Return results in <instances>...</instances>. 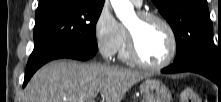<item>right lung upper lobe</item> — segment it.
<instances>
[{
	"label": "right lung upper lobe",
	"mask_w": 221,
	"mask_h": 102,
	"mask_svg": "<svg viewBox=\"0 0 221 102\" xmlns=\"http://www.w3.org/2000/svg\"><path fill=\"white\" fill-rule=\"evenodd\" d=\"M50 1H53V0H40L39 6L44 5V4H46ZM84 1H86L87 3H91V4H102V3H104V0H84Z\"/></svg>",
	"instance_id": "cb5924a9"
}]
</instances>
